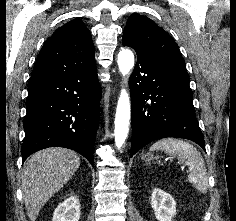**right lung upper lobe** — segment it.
<instances>
[{
  "label": "right lung upper lobe",
  "instance_id": "obj_1",
  "mask_svg": "<svg viewBox=\"0 0 236 221\" xmlns=\"http://www.w3.org/2000/svg\"><path fill=\"white\" fill-rule=\"evenodd\" d=\"M96 70L90 31L80 19L59 27L38 54L28 85Z\"/></svg>",
  "mask_w": 236,
  "mask_h": 221
}]
</instances>
